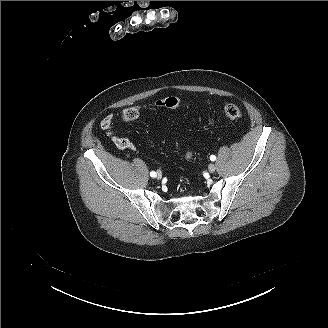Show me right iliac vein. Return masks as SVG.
<instances>
[{"mask_svg":"<svg viewBox=\"0 0 328 328\" xmlns=\"http://www.w3.org/2000/svg\"><path fill=\"white\" fill-rule=\"evenodd\" d=\"M156 178H157V180H161V178H162V174H161V173H158V174L156 175Z\"/></svg>","mask_w":328,"mask_h":328,"instance_id":"1","label":"right iliac vein"}]
</instances>
